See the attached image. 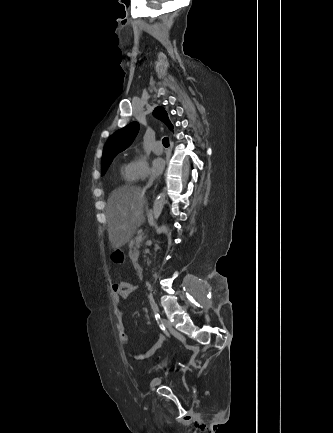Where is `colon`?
I'll list each match as a JSON object with an SVG mask.
<instances>
[{"instance_id":"obj_1","label":"colon","mask_w":333,"mask_h":433,"mask_svg":"<svg viewBox=\"0 0 333 433\" xmlns=\"http://www.w3.org/2000/svg\"><path fill=\"white\" fill-rule=\"evenodd\" d=\"M124 250L123 249H112L111 250V257L114 258V263L116 265H121L123 263V257H124Z\"/></svg>"}]
</instances>
